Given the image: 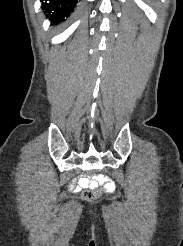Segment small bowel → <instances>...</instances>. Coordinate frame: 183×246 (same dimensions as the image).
I'll list each match as a JSON object with an SVG mask.
<instances>
[{
	"label": "small bowel",
	"mask_w": 183,
	"mask_h": 246,
	"mask_svg": "<svg viewBox=\"0 0 183 246\" xmlns=\"http://www.w3.org/2000/svg\"><path fill=\"white\" fill-rule=\"evenodd\" d=\"M77 178L81 180H77V185L74 186L75 191H80L86 187H94L95 182H105L104 194H113V191H116V182L111 181V177H107V174H92L93 181L88 178L87 174H78Z\"/></svg>",
	"instance_id": "1"
}]
</instances>
